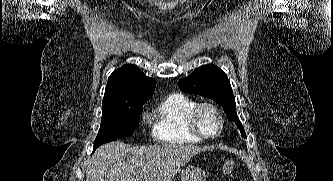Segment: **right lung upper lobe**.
Segmentation results:
<instances>
[{"label": "right lung upper lobe", "instance_id": "right-lung-upper-lobe-1", "mask_svg": "<svg viewBox=\"0 0 333 181\" xmlns=\"http://www.w3.org/2000/svg\"><path fill=\"white\" fill-rule=\"evenodd\" d=\"M156 82L139 67L128 64L109 77L103 98V110L146 102L154 93Z\"/></svg>", "mask_w": 333, "mask_h": 181}]
</instances>
